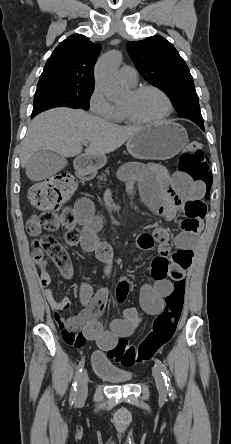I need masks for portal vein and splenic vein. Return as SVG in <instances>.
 I'll list each match as a JSON object with an SVG mask.
<instances>
[{
    "instance_id": "portal-vein-and-splenic-vein-1",
    "label": "portal vein and splenic vein",
    "mask_w": 231,
    "mask_h": 444,
    "mask_svg": "<svg viewBox=\"0 0 231 444\" xmlns=\"http://www.w3.org/2000/svg\"><path fill=\"white\" fill-rule=\"evenodd\" d=\"M83 144H84L85 146H87V145L89 144V142L84 141Z\"/></svg>"
}]
</instances>
